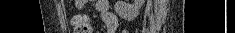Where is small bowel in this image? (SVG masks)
I'll use <instances>...</instances> for the list:
<instances>
[{
    "label": "small bowel",
    "mask_w": 235,
    "mask_h": 33,
    "mask_svg": "<svg viewBox=\"0 0 235 33\" xmlns=\"http://www.w3.org/2000/svg\"><path fill=\"white\" fill-rule=\"evenodd\" d=\"M84 3L85 1L82 0L78 2V5L82 6ZM95 7L98 13L100 14L102 20L106 24L107 33H114L117 28L118 21H117V18L109 11L108 1L97 0L95 2Z\"/></svg>",
    "instance_id": "obj_1"
}]
</instances>
